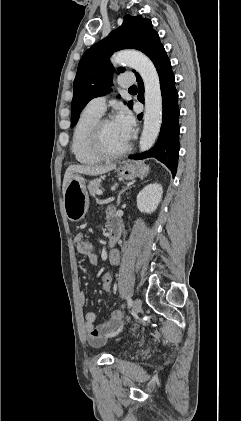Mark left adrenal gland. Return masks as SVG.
<instances>
[{
    "mask_svg": "<svg viewBox=\"0 0 241 421\" xmlns=\"http://www.w3.org/2000/svg\"><path fill=\"white\" fill-rule=\"evenodd\" d=\"M132 184L133 183H129V184H127V186H124L123 188H122V190L119 192V194H118V198H117V206H119L120 205V202H121V195L122 194H124L128 189H130L131 188V186H132Z\"/></svg>",
    "mask_w": 241,
    "mask_h": 421,
    "instance_id": "a2214340",
    "label": "left adrenal gland"
}]
</instances>
